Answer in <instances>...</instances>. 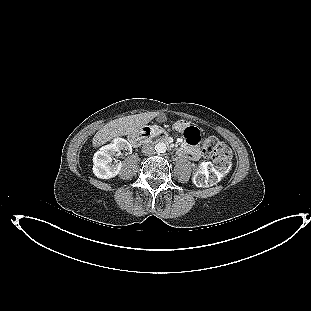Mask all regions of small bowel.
<instances>
[{
	"mask_svg": "<svg viewBox=\"0 0 311 311\" xmlns=\"http://www.w3.org/2000/svg\"><path fill=\"white\" fill-rule=\"evenodd\" d=\"M174 128L184 134V140L180 146L179 154L184 157H188L192 160H197L200 157V151L197 147V142L192 140L186 130H190L191 127L186 121L178 120L174 123Z\"/></svg>",
	"mask_w": 311,
	"mask_h": 311,
	"instance_id": "obj_1",
	"label": "small bowel"
}]
</instances>
